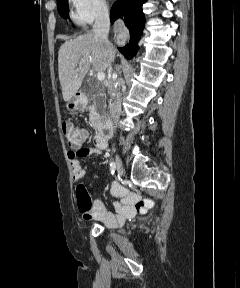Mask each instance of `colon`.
Here are the masks:
<instances>
[{"label":"colon","instance_id":"colon-1","mask_svg":"<svg viewBox=\"0 0 240 288\" xmlns=\"http://www.w3.org/2000/svg\"><path fill=\"white\" fill-rule=\"evenodd\" d=\"M62 129L69 145L71 146L82 145L86 139L85 131L78 128L70 121L63 122Z\"/></svg>","mask_w":240,"mask_h":288}]
</instances>
